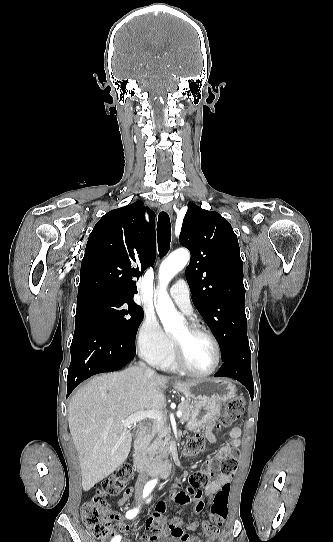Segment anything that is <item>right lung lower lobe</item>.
Here are the masks:
<instances>
[{"mask_svg":"<svg viewBox=\"0 0 333 542\" xmlns=\"http://www.w3.org/2000/svg\"><path fill=\"white\" fill-rule=\"evenodd\" d=\"M70 351L67 397L83 380L120 370L136 355L135 346L125 344L103 319L89 312H76Z\"/></svg>","mask_w":333,"mask_h":542,"instance_id":"obj_1","label":"right lung lower lobe"}]
</instances>
